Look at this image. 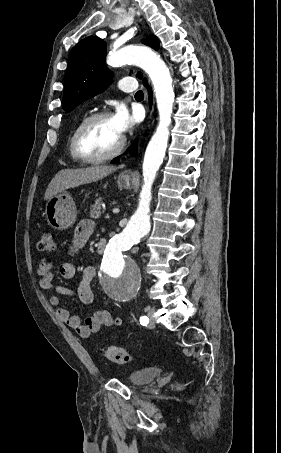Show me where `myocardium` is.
<instances>
[{
	"label": "myocardium",
	"instance_id": "obj_1",
	"mask_svg": "<svg viewBox=\"0 0 281 453\" xmlns=\"http://www.w3.org/2000/svg\"><path fill=\"white\" fill-rule=\"evenodd\" d=\"M110 118L111 117L108 113L100 112V113H95V114L89 116L88 118H86L85 120H83L80 123V125L78 126V128L76 130L75 138H74L75 155L79 160L86 162V163H100V162H104L107 160H111L121 153V151L123 150L125 143H126L125 136H122L120 142L117 144V146L112 151H110L109 153L104 154V155H100L97 157H89V156L85 155L82 150L83 138H84L88 128L95 122L108 120Z\"/></svg>",
	"mask_w": 281,
	"mask_h": 453
}]
</instances>
